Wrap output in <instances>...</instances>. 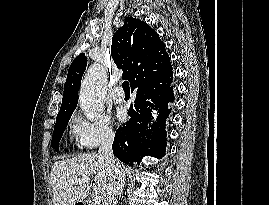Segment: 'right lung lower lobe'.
Returning <instances> with one entry per match:
<instances>
[{
  "label": "right lung lower lobe",
  "mask_w": 269,
  "mask_h": 205,
  "mask_svg": "<svg viewBox=\"0 0 269 205\" xmlns=\"http://www.w3.org/2000/svg\"><path fill=\"white\" fill-rule=\"evenodd\" d=\"M171 82L172 79L136 88L134 105L128 111L131 118L125 126L117 129L112 146L114 155L122 162L139 165L146 155L158 159L165 155V120L171 111L168 103L174 101ZM151 108L158 110L160 116L149 128L153 118Z\"/></svg>",
  "instance_id": "98d812e1"
}]
</instances>
